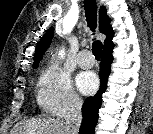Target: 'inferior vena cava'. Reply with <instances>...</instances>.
<instances>
[{
	"label": "inferior vena cava",
	"mask_w": 153,
	"mask_h": 134,
	"mask_svg": "<svg viewBox=\"0 0 153 134\" xmlns=\"http://www.w3.org/2000/svg\"><path fill=\"white\" fill-rule=\"evenodd\" d=\"M82 100L74 99L64 116V134H78L82 121Z\"/></svg>",
	"instance_id": "602c4592"
}]
</instances>
